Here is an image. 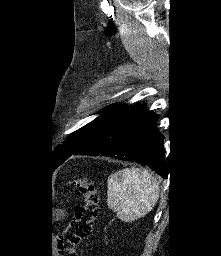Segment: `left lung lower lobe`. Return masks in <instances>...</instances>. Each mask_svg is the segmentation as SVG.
<instances>
[{"label":"left lung lower lobe","mask_w":221,"mask_h":256,"mask_svg":"<svg viewBox=\"0 0 221 256\" xmlns=\"http://www.w3.org/2000/svg\"><path fill=\"white\" fill-rule=\"evenodd\" d=\"M157 115L145 105L106 122L72 155L108 156L147 165L167 178L163 135L156 130Z\"/></svg>","instance_id":"left-lung-lower-lobe-1"}]
</instances>
